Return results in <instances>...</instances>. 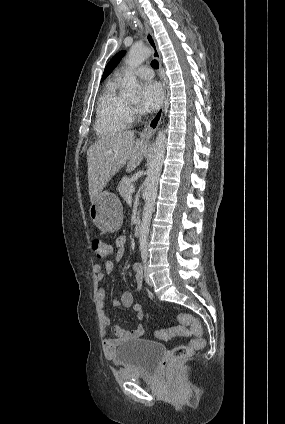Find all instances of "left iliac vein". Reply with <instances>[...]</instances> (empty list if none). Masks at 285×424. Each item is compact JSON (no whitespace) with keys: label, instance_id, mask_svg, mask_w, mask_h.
<instances>
[{"label":"left iliac vein","instance_id":"left-iliac-vein-1","mask_svg":"<svg viewBox=\"0 0 285 424\" xmlns=\"http://www.w3.org/2000/svg\"><path fill=\"white\" fill-rule=\"evenodd\" d=\"M144 276H145L146 283L148 285L152 286L153 285V281H152V279L149 276V272H148V269H147V266L146 265L144 266Z\"/></svg>","mask_w":285,"mask_h":424}]
</instances>
